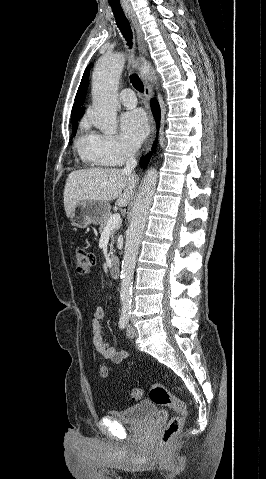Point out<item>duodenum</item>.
Segmentation results:
<instances>
[{
	"label": "duodenum",
	"instance_id": "obj_1",
	"mask_svg": "<svg viewBox=\"0 0 266 479\" xmlns=\"http://www.w3.org/2000/svg\"><path fill=\"white\" fill-rule=\"evenodd\" d=\"M109 273L112 278H118L120 276V262L117 256H111Z\"/></svg>",
	"mask_w": 266,
	"mask_h": 479
}]
</instances>
